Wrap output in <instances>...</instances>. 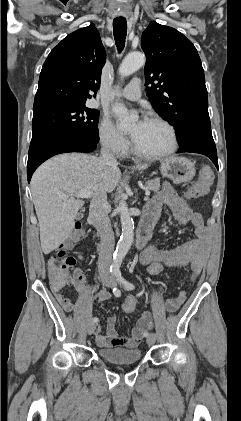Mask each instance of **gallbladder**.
<instances>
[{
    "label": "gallbladder",
    "mask_w": 241,
    "mask_h": 421,
    "mask_svg": "<svg viewBox=\"0 0 241 421\" xmlns=\"http://www.w3.org/2000/svg\"><path fill=\"white\" fill-rule=\"evenodd\" d=\"M82 217V214L81 213H78L77 215H76V219H80Z\"/></svg>",
    "instance_id": "1"
}]
</instances>
